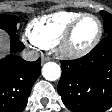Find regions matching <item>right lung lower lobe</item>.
Listing matches in <instances>:
<instances>
[{"mask_svg": "<svg viewBox=\"0 0 112 112\" xmlns=\"http://www.w3.org/2000/svg\"><path fill=\"white\" fill-rule=\"evenodd\" d=\"M11 40V55L0 60V112H22L41 70V60L28 62L16 52L24 48L19 38Z\"/></svg>", "mask_w": 112, "mask_h": 112, "instance_id": "98d812e1", "label": "right lung lower lobe"}]
</instances>
